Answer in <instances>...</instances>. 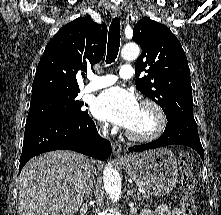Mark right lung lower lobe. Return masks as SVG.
I'll return each instance as SVG.
<instances>
[{
	"instance_id": "98d812e1",
	"label": "right lung lower lobe",
	"mask_w": 221,
	"mask_h": 215,
	"mask_svg": "<svg viewBox=\"0 0 221 215\" xmlns=\"http://www.w3.org/2000/svg\"><path fill=\"white\" fill-rule=\"evenodd\" d=\"M73 150L103 160L111 154V144L98 135L90 116L78 121L56 118L26 123L19 171L32 157L53 150Z\"/></svg>"
}]
</instances>
